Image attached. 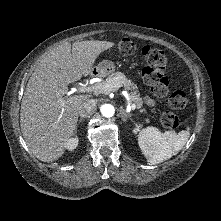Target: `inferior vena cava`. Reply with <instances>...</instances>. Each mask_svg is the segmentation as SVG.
<instances>
[{"mask_svg":"<svg viewBox=\"0 0 221 221\" xmlns=\"http://www.w3.org/2000/svg\"><path fill=\"white\" fill-rule=\"evenodd\" d=\"M96 110V103L93 99L85 100L80 108H79V115L81 117H89L92 115Z\"/></svg>","mask_w":221,"mask_h":221,"instance_id":"1","label":"inferior vena cava"}]
</instances>
